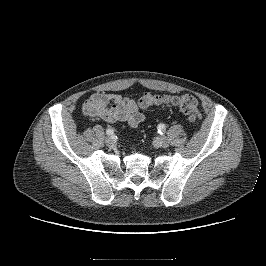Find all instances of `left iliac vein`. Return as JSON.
I'll return each instance as SVG.
<instances>
[{"instance_id": "4c4485c4", "label": "left iliac vein", "mask_w": 266, "mask_h": 266, "mask_svg": "<svg viewBox=\"0 0 266 266\" xmlns=\"http://www.w3.org/2000/svg\"><path fill=\"white\" fill-rule=\"evenodd\" d=\"M156 143L158 144V146H160L162 148H167L169 146V142H168L167 138H165V137H157Z\"/></svg>"}]
</instances>
